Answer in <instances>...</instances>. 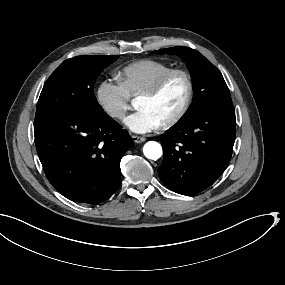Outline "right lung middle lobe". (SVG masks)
Instances as JSON below:
<instances>
[{
    "instance_id": "dd1d6c3e",
    "label": "right lung middle lobe",
    "mask_w": 285,
    "mask_h": 285,
    "mask_svg": "<svg viewBox=\"0 0 285 285\" xmlns=\"http://www.w3.org/2000/svg\"><path fill=\"white\" fill-rule=\"evenodd\" d=\"M118 56H77L64 61L45 82L35 119L57 111L97 116L103 114L93 87L100 73Z\"/></svg>"
}]
</instances>
